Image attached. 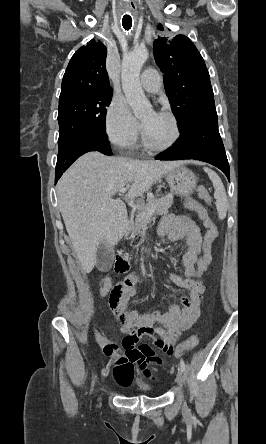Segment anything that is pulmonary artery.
Wrapping results in <instances>:
<instances>
[{
	"instance_id": "1",
	"label": "pulmonary artery",
	"mask_w": 266,
	"mask_h": 444,
	"mask_svg": "<svg viewBox=\"0 0 266 444\" xmlns=\"http://www.w3.org/2000/svg\"><path fill=\"white\" fill-rule=\"evenodd\" d=\"M160 73L154 68H147L140 77L141 86L148 92H156L161 87Z\"/></svg>"
}]
</instances>
